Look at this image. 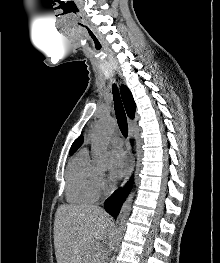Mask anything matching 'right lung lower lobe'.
Masks as SVG:
<instances>
[{
  "label": "right lung lower lobe",
  "instance_id": "1",
  "mask_svg": "<svg viewBox=\"0 0 220 263\" xmlns=\"http://www.w3.org/2000/svg\"><path fill=\"white\" fill-rule=\"evenodd\" d=\"M132 183L133 179H130V181L125 185L123 189L119 188L105 201L104 207L110 215H118L124 200L126 199L131 190Z\"/></svg>",
  "mask_w": 220,
  "mask_h": 263
}]
</instances>
